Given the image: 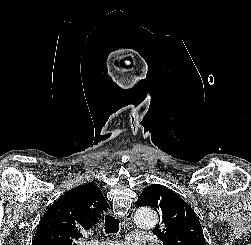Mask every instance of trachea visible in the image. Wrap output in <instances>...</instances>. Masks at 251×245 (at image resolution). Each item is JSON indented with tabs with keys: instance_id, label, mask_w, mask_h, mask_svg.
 <instances>
[{
	"instance_id": "3493384b",
	"label": "trachea",
	"mask_w": 251,
	"mask_h": 245,
	"mask_svg": "<svg viewBox=\"0 0 251 245\" xmlns=\"http://www.w3.org/2000/svg\"><path fill=\"white\" fill-rule=\"evenodd\" d=\"M119 231V219L113 217L112 215H106L105 217V232L117 233Z\"/></svg>"
}]
</instances>
